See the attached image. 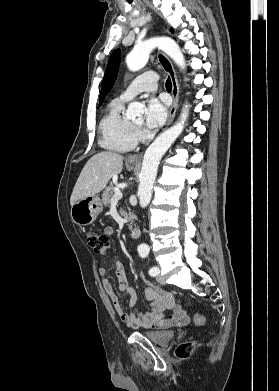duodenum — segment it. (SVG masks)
<instances>
[{
    "label": "duodenum",
    "instance_id": "410a0bca",
    "mask_svg": "<svg viewBox=\"0 0 279 391\" xmlns=\"http://www.w3.org/2000/svg\"><path fill=\"white\" fill-rule=\"evenodd\" d=\"M140 234H141L140 229L137 226H135L131 230L130 237L131 239H138L140 237Z\"/></svg>",
    "mask_w": 279,
    "mask_h": 391
}]
</instances>
